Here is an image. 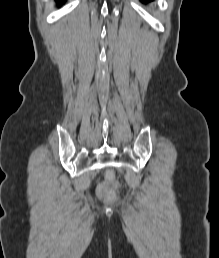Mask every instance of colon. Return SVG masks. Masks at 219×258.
<instances>
[{
	"label": "colon",
	"mask_w": 219,
	"mask_h": 258,
	"mask_svg": "<svg viewBox=\"0 0 219 258\" xmlns=\"http://www.w3.org/2000/svg\"><path fill=\"white\" fill-rule=\"evenodd\" d=\"M119 186L115 178V172L108 170L105 174V181L98 185V193L101 197L105 198L108 202L115 199V188Z\"/></svg>",
	"instance_id": "colon-1"
}]
</instances>
